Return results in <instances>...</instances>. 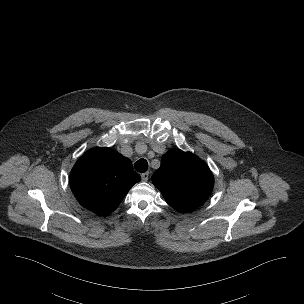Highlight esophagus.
Segmentation results:
<instances>
[{"mask_svg":"<svg viewBox=\"0 0 304 304\" xmlns=\"http://www.w3.org/2000/svg\"><path fill=\"white\" fill-rule=\"evenodd\" d=\"M148 178H149V173L148 172L141 174L142 181L146 182L148 180Z\"/></svg>","mask_w":304,"mask_h":304,"instance_id":"obj_1","label":"esophagus"}]
</instances>
